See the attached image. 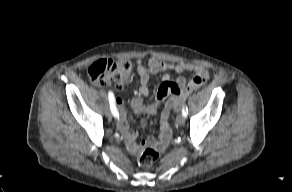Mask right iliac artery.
I'll use <instances>...</instances> for the list:
<instances>
[{
  "label": "right iliac artery",
  "instance_id": "82829eb1",
  "mask_svg": "<svg viewBox=\"0 0 292 192\" xmlns=\"http://www.w3.org/2000/svg\"><path fill=\"white\" fill-rule=\"evenodd\" d=\"M109 103H110V110L115 118L119 117V113L117 107L115 105V97L113 92L109 91L108 93Z\"/></svg>",
  "mask_w": 292,
  "mask_h": 192
}]
</instances>
